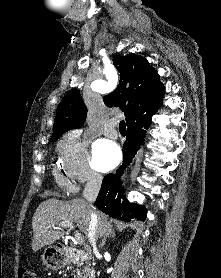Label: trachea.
<instances>
[{
    "mask_svg": "<svg viewBox=\"0 0 221 278\" xmlns=\"http://www.w3.org/2000/svg\"><path fill=\"white\" fill-rule=\"evenodd\" d=\"M119 131H126V124L124 120L120 121Z\"/></svg>",
    "mask_w": 221,
    "mask_h": 278,
    "instance_id": "1",
    "label": "trachea"
}]
</instances>
